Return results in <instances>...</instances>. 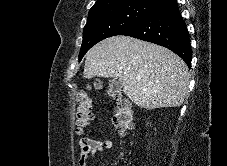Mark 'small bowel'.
<instances>
[{"mask_svg":"<svg viewBox=\"0 0 227 166\" xmlns=\"http://www.w3.org/2000/svg\"><path fill=\"white\" fill-rule=\"evenodd\" d=\"M79 166H87L88 160L91 156L101 153L105 149H109L112 146L110 140H96L93 138L85 137L80 140L79 143Z\"/></svg>","mask_w":227,"mask_h":166,"instance_id":"obj_1","label":"small bowel"}]
</instances>
